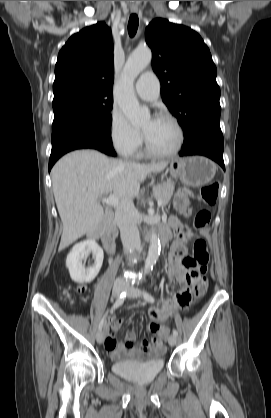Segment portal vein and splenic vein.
<instances>
[{"label": "portal vein and splenic vein", "instance_id": "portal-vein-and-splenic-vein-1", "mask_svg": "<svg viewBox=\"0 0 271 418\" xmlns=\"http://www.w3.org/2000/svg\"><path fill=\"white\" fill-rule=\"evenodd\" d=\"M102 202L111 205V206H117L119 204V200L112 194H110L108 197L103 198ZM158 206H162V201L158 200Z\"/></svg>", "mask_w": 271, "mask_h": 418}]
</instances>
